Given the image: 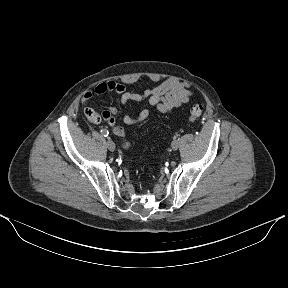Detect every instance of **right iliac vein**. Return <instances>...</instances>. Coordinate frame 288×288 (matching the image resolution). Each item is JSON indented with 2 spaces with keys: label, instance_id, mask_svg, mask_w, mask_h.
I'll use <instances>...</instances> for the list:
<instances>
[{
  "label": "right iliac vein",
  "instance_id": "63e3f726",
  "mask_svg": "<svg viewBox=\"0 0 288 288\" xmlns=\"http://www.w3.org/2000/svg\"><path fill=\"white\" fill-rule=\"evenodd\" d=\"M106 144H107V147L110 151L115 150V143L112 140L108 139Z\"/></svg>",
  "mask_w": 288,
  "mask_h": 288
}]
</instances>
